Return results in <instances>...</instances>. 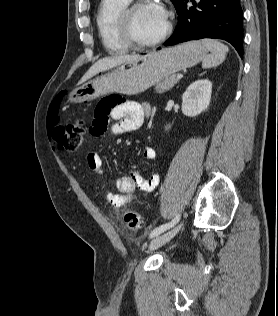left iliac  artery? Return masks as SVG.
<instances>
[{"instance_id": "44dca946", "label": "left iliac artery", "mask_w": 278, "mask_h": 316, "mask_svg": "<svg viewBox=\"0 0 278 316\" xmlns=\"http://www.w3.org/2000/svg\"><path fill=\"white\" fill-rule=\"evenodd\" d=\"M180 219V215H176V217L169 223L163 224L155 229H153V231H151L150 233V238L156 237L159 234H161L162 232L166 231L167 229L171 228L172 226H174Z\"/></svg>"}]
</instances>
